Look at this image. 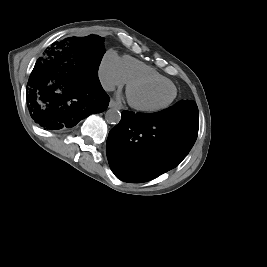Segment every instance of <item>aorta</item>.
Segmentation results:
<instances>
[{"instance_id":"1","label":"aorta","mask_w":267,"mask_h":267,"mask_svg":"<svg viewBox=\"0 0 267 267\" xmlns=\"http://www.w3.org/2000/svg\"><path fill=\"white\" fill-rule=\"evenodd\" d=\"M105 119L110 124H118L121 120V112L116 108H110L105 113Z\"/></svg>"}]
</instances>
